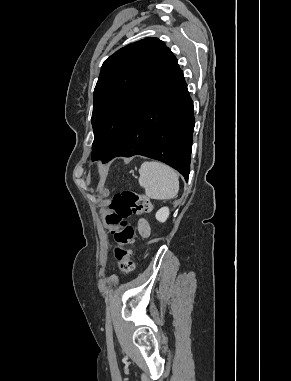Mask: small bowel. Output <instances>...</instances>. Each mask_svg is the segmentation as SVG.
<instances>
[{
	"mask_svg": "<svg viewBox=\"0 0 291 381\" xmlns=\"http://www.w3.org/2000/svg\"><path fill=\"white\" fill-rule=\"evenodd\" d=\"M139 232H140V235L142 237H148L149 234H150V228H149V225L146 221L142 220L140 223H139Z\"/></svg>",
	"mask_w": 291,
	"mask_h": 381,
	"instance_id": "c3829d8e",
	"label": "small bowel"
}]
</instances>
